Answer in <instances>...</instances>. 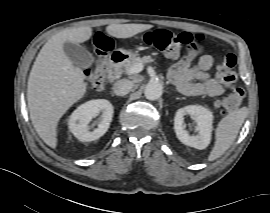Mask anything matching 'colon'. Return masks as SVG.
Wrapping results in <instances>:
<instances>
[{
  "label": "colon",
  "mask_w": 270,
  "mask_h": 213,
  "mask_svg": "<svg viewBox=\"0 0 270 213\" xmlns=\"http://www.w3.org/2000/svg\"><path fill=\"white\" fill-rule=\"evenodd\" d=\"M144 41L147 45L166 53L171 57H177L180 54L190 56L198 53L205 41L202 34L193 36L190 33H172L165 29H157L148 32L145 35ZM93 43L96 52L94 66L88 72L90 84L95 88H100L104 83V70L106 66V54L111 49V41L109 36L97 31L93 35ZM236 57L233 54H228L224 57L223 62L217 66V72L220 79L228 84H233L237 79V74L234 71ZM243 96V90L240 87H234L233 90L223 96L218 103L225 112L235 110Z\"/></svg>",
  "instance_id": "colon-1"
}]
</instances>
